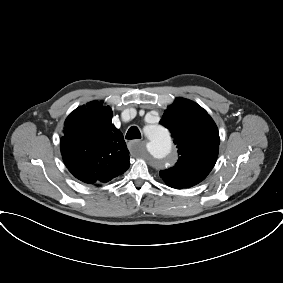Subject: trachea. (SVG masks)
Listing matches in <instances>:
<instances>
[{
    "instance_id": "3493384b",
    "label": "trachea",
    "mask_w": 283,
    "mask_h": 283,
    "mask_svg": "<svg viewBox=\"0 0 283 283\" xmlns=\"http://www.w3.org/2000/svg\"><path fill=\"white\" fill-rule=\"evenodd\" d=\"M125 138L128 139V140L140 139L141 134H140L139 129L136 126L130 127Z\"/></svg>"
}]
</instances>
